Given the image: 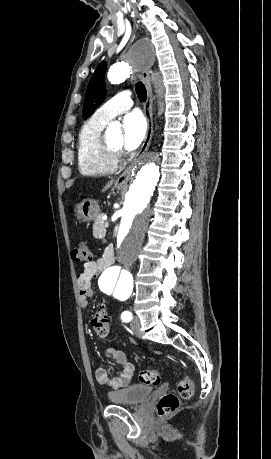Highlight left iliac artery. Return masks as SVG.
<instances>
[{"label": "left iliac artery", "mask_w": 271, "mask_h": 459, "mask_svg": "<svg viewBox=\"0 0 271 459\" xmlns=\"http://www.w3.org/2000/svg\"><path fill=\"white\" fill-rule=\"evenodd\" d=\"M123 322H129L132 320V313L129 311H124L121 315Z\"/></svg>", "instance_id": "obj_1"}]
</instances>
